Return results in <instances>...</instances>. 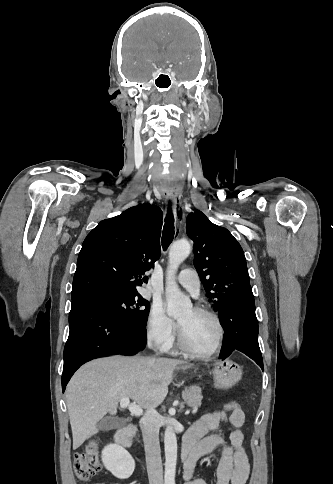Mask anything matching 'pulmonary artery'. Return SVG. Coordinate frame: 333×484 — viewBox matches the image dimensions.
<instances>
[{"label": "pulmonary artery", "mask_w": 333, "mask_h": 484, "mask_svg": "<svg viewBox=\"0 0 333 484\" xmlns=\"http://www.w3.org/2000/svg\"><path fill=\"white\" fill-rule=\"evenodd\" d=\"M176 280L193 296H198L200 291V280L195 270L190 268L183 269L176 277Z\"/></svg>", "instance_id": "obj_1"}]
</instances>
